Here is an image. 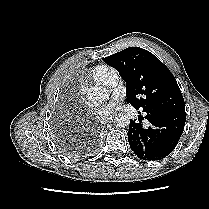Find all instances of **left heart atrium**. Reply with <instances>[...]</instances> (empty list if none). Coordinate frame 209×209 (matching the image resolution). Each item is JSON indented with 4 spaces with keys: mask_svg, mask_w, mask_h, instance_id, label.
Segmentation results:
<instances>
[{
    "mask_svg": "<svg viewBox=\"0 0 209 209\" xmlns=\"http://www.w3.org/2000/svg\"><path fill=\"white\" fill-rule=\"evenodd\" d=\"M121 101L122 97L120 95H115L109 101L101 105L96 111L98 118L107 119L116 113L120 108Z\"/></svg>",
    "mask_w": 209,
    "mask_h": 209,
    "instance_id": "39dd6f15",
    "label": "left heart atrium"
}]
</instances>
